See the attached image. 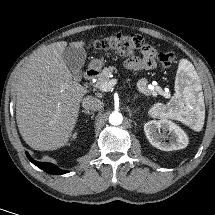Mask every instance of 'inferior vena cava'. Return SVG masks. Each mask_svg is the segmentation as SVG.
<instances>
[{"label":"inferior vena cava","mask_w":215,"mask_h":215,"mask_svg":"<svg viewBox=\"0 0 215 215\" xmlns=\"http://www.w3.org/2000/svg\"><path fill=\"white\" fill-rule=\"evenodd\" d=\"M82 106L86 110L98 111L103 108L104 104L100 99L94 96H87L83 99Z\"/></svg>","instance_id":"obj_1"}]
</instances>
